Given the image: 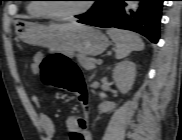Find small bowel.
Here are the masks:
<instances>
[{
    "label": "small bowel",
    "instance_id": "c3829d8e",
    "mask_svg": "<svg viewBox=\"0 0 182 140\" xmlns=\"http://www.w3.org/2000/svg\"><path fill=\"white\" fill-rule=\"evenodd\" d=\"M44 61V56L41 53H37L33 57V61L30 65V71L32 74H37L40 70L41 63ZM32 102L35 106L39 107L41 102L37 95L32 96ZM39 123L41 125V128L44 132L45 139L46 140H52L55 134V125L53 120L49 115L46 113H40L39 114ZM66 127L68 131L73 133L78 129V123L77 119L75 117H68L66 119ZM85 140H92L91 134L89 130L86 129L85 131Z\"/></svg>",
    "mask_w": 182,
    "mask_h": 140
}]
</instances>
